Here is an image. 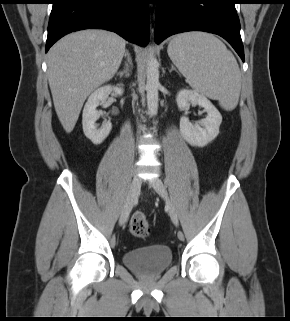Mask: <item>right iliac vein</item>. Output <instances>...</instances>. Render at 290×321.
Wrapping results in <instances>:
<instances>
[{
    "mask_svg": "<svg viewBox=\"0 0 290 321\" xmlns=\"http://www.w3.org/2000/svg\"><path fill=\"white\" fill-rule=\"evenodd\" d=\"M140 186H141L140 178L137 175H135L131 181L129 191L120 214V218H119L120 225H123L127 221L129 214L133 208V205L138 198Z\"/></svg>",
    "mask_w": 290,
    "mask_h": 321,
    "instance_id": "63e3f726",
    "label": "right iliac vein"
}]
</instances>
